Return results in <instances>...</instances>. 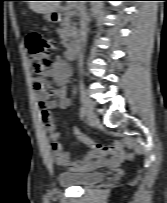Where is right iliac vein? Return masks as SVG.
<instances>
[{"instance_id": "obj_1", "label": "right iliac vein", "mask_w": 167, "mask_h": 203, "mask_svg": "<svg viewBox=\"0 0 167 203\" xmlns=\"http://www.w3.org/2000/svg\"><path fill=\"white\" fill-rule=\"evenodd\" d=\"M80 99L85 109L89 124L90 125L96 124L98 122V119L94 112L92 101L89 99L84 89L80 90Z\"/></svg>"}]
</instances>
